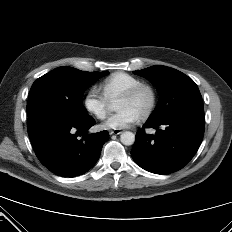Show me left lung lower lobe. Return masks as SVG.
Instances as JSON below:
<instances>
[{
  "label": "left lung lower lobe",
  "instance_id": "1",
  "mask_svg": "<svg viewBox=\"0 0 232 232\" xmlns=\"http://www.w3.org/2000/svg\"><path fill=\"white\" fill-rule=\"evenodd\" d=\"M155 128V135L136 133L131 150L133 160L155 174H169L188 164L204 135L203 102L183 105L159 119H148L143 128ZM162 127V129H160Z\"/></svg>",
  "mask_w": 232,
  "mask_h": 232
}]
</instances>
